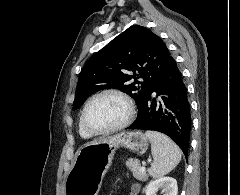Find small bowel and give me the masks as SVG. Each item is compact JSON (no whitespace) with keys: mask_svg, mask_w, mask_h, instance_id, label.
Instances as JSON below:
<instances>
[{"mask_svg":"<svg viewBox=\"0 0 240 195\" xmlns=\"http://www.w3.org/2000/svg\"><path fill=\"white\" fill-rule=\"evenodd\" d=\"M139 191H140L139 185H134L129 195H138Z\"/></svg>","mask_w":240,"mask_h":195,"instance_id":"1","label":"small bowel"}]
</instances>
